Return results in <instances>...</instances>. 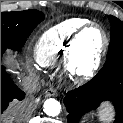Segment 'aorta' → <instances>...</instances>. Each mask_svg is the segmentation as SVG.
Listing matches in <instances>:
<instances>
[{
  "label": "aorta",
  "mask_w": 123,
  "mask_h": 123,
  "mask_svg": "<svg viewBox=\"0 0 123 123\" xmlns=\"http://www.w3.org/2000/svg\"><path fill=\"white\" fill-rule=\"evenodd\" d=\"M44 112L51 117L59 115L61 111V104L59 101L50 98L44 102Z\"/></svg>",
  "instance_id": "obj_1"
}]
</instances>
